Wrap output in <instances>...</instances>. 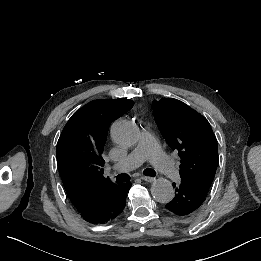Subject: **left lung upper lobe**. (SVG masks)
<instances>
[{
    "mask_svg": "<svg viewBox=\"0 0 261 261\" xmlns=\"http://www.w3.org/2000/svg\"><path fill=\"white\" fill-rule=\"evenodd\" d=\"M155 121L168 145L181 158V181L208 191L218 165L216 137L207 119L185 103L169 98L153 101Z\"/></svg>",
    "mask_w": 261,
    "mask_h": 261,
    "instance_id": "1",
    "label": "left lung upper lobe"
}]
</instances>
